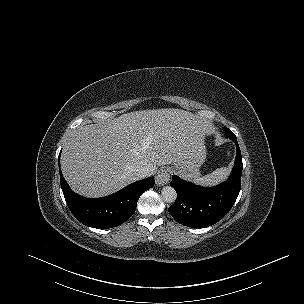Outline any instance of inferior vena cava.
<instances>
[{"label":"inferior vena cava","mask_w":304,"mask_h":304,"mask_svg":"<svg viewBox=\"0 0 304 304\" xmlns=\"http://www.w3.org/2000/svg\"><path fill=\"white\" fill-rule=\"evenodd\" d=\"M153 174H154L153 171H150L149 169H147V168H145L143 166L137 167L134 170V175H135V177H136L137 180L149 177V176H151Z\"/></svg>","instance_id":"1"}]
</instances>
